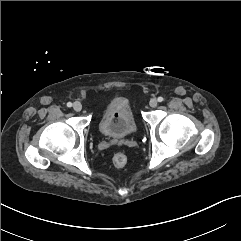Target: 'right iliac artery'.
<instances>
[{
  "label": "right iliac artery",
  "mask_w": 241,
  "mask_h": 241,
  "mask_svg": "<svg viewBox=\"0 0 241 241\" xmlns=\"http://www.w3.org/2000/svg\"><path fill=\"white\" fill-rule=\"evenodd\" d=\"M67 107H72V103H71V102H68V103H67Z\"/></svg>",
  "instance_id": "1"
}]
</instances>
